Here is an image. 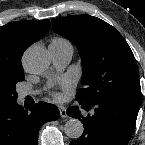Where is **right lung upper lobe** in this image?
I'll list each match as a JSON object with an SVG mask.
<instances>
[{
	"label": "right lung upper lobe",
	"instance_id": "obj_1",
	"mask_svg": "<svg viewBox=\"0 0 145 145\" xmlns=\"http://www.w3.org/2000/svg\"><path fill=\"white\" fill-rule=\"evenodd\" d=\"M49 28V20L16 21L0 27V85L24 72L22 54L41 39Z\"/></svg>",
	"mask_w": 145,
	"mask_h": 145
}]
</instances>
